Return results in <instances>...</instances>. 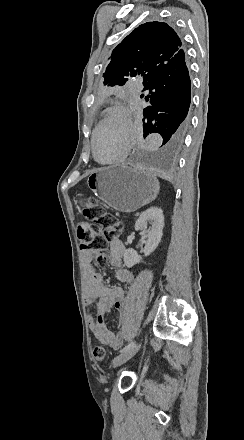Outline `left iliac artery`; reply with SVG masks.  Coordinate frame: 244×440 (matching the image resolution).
Returning a JSON list of instances; mask_svg holds the SVG:
<instances>
[{
  "instance_id": "left-iliac-artery-1",
  "label": "left iliac artery",
  "mask_w": 244,
  "mask_h": 440,
  "mask_svg": "<svg viewBox=\"0 0 244 440\" xmlns=\"http://www.w3.org/2000/svg\"><path fill=\"white\" fill-rule=\"evenodd\" d=\"M134 346H135V341H132V342H130L128 345H126L125 347H123V348L120 350V352L122 353V352H124V351H126V350H128V349L133 348Z\"/></svg>"
}]
</instances>
